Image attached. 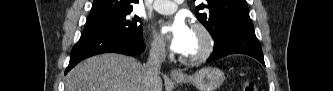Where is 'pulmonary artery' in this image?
I'll list each match as a JSON object with an SVG mask.
<instances>
[{
    "instance_id": "pulmonary-artery-1",
    "label": "pulmonary artery",
    "mask_w": 333,
    "mask_h": 91,
    "mask_svg": "<svg viewBox=\"0 0 333 91\" xmlns=\"http://www.w3.org/2000/svg\"><path fill=\"white\" fill-rule=\"evenodd\" d=\"M182 1L157 0L152 8L160 14H171L176 11L178 3Z\"/></svg>"
}]
</instances>
